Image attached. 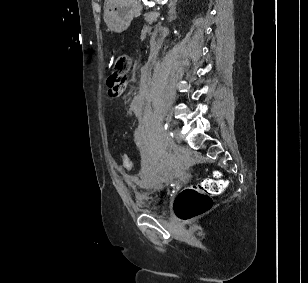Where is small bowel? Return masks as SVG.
<instances>
[{
  "label": "small bowel",
  "instance_id": "c3829d8e",
  "mask_svg": "<svg viewBox=\"0 0 308 283\" xmlns=\"http://www.w3.org/2000/svg\"><path fill=\"white\" fill-rule=\"evenodd\" d=\"M107 86H108V95L112 99L120 97L125 90V84L120 87H117V86H112L109 83H107ZM145 108H146L145 94L142 92H139L132 98L128 106L127 113L133 114L134 116L138 118H142L145 114Z\"/></svg>",
  "mask_w": 308,
  "mask_h": 283
}]
</instances>
